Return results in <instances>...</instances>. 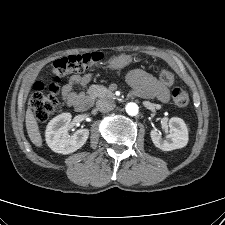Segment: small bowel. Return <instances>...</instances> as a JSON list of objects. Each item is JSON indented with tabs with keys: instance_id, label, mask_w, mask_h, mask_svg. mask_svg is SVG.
I'll list each match as a JSON object with an SVG mask.
<instances>
[{
	"instance_id": "obj_1",
	"label": "small bowel",
	"mask_w": 225,
	"mask_h": 225,
	"mask_svg": "<svg viewBox=\"0 0 225 225\" xmlns=\"http://www.w3.org/2000/svg\"><path fill=\"white\" fill-rule=\"evenodd\" d=\"M91 80L92 76L90 74L70 76L61 90L64 102L68 106H74L83 97L82 90ZM127 80L140 97L157 98L162 102L169 100L167 84L144 70L136 69L131 71L127 76Z\"/></svg>"
}]
</instances>
